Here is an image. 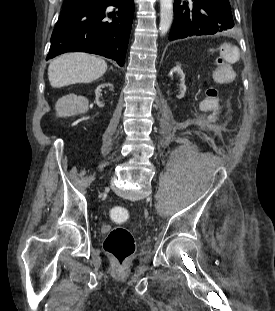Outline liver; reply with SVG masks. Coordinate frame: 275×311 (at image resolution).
<instances>
[{"label":"liver","instance_id":"1","mask_svg":"<svg viewBox=\"0 0 275 311\" xmlns=\"http://www.w3.org/2000/svg\"><path fill=\"white\" fill-rule=\"evenodd\" d=\"M107 70V63L87 53H68L50 62L48 78L54 88L90 83L100 78Z\"/></svg>","mask_w":275,"mask_h":311}]
</instances>
